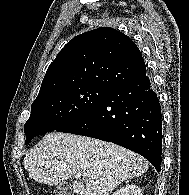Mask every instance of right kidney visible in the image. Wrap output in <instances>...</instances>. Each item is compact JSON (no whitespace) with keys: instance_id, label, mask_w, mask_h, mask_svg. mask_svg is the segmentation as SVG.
Instances as JSON below:
<instances>
[{"instance_id":"obj_1","label":"right kidney","mask_w":189,"mask_h":195,"mask_svg":"<svg viewBox=\"0 0 189 195\" xmlns=\"http://www.w3.org/2000/svg\"><path fill=\"white\" fill-rule=\"evenodd\" d=\"M113 195H142L141 189L136 184H127L119 188Z\"/></svg>"}]
</instances>
